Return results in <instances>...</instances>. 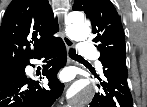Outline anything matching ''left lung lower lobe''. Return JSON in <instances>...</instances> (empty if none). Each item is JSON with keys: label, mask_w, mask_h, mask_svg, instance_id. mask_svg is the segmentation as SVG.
Masks as SVG:
<instances>
[{"label": "left lung lower lobe", "mask_w": 147, "mask_h": 107, "mask_svg": "<svg viewBox=\"0 0 147 107\" xmlns=\"http://www.w3.org/2000/svg\"><path fill=\"white\" fill-rule=\"evenodd\" d=\"M104 81L88 107H133L128 87L126 55L111 54L101 60ZM101 80L100 78H98Z\"/></svg>", "instance_id": "obj_1"}]
</instances>
